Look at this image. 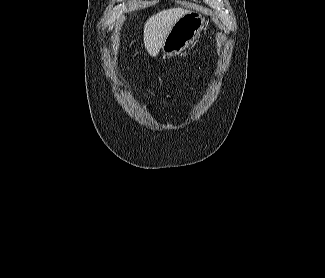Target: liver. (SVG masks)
<instances>
[{
    "instance_id": "1",
    "label": "liver",
    "mask_w": 325,
    "mask_h": 278,
    "mask_svg": "<svg viewBox=\"0 0 325 278\" xmlns=\"http://www.w3.org/2000/svg\"><path fill=\"white\" fill-rule=\"evenodd\" d=\"M189 12L183 8H170L149 17L143 33L144 45L149 55L155 56L159 53L172 26Z\"/></svg>"
}]
</instances>
